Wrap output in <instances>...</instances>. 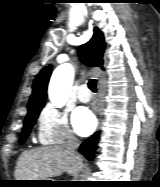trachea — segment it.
Returning a JSON list of instances; mask_svg holds the SVG:
<instances>
[{
    "instance_id": "1",
    "label": "trachea",
    "mask_w": 160,
    "mask_h": 187,
    "mask_svg": "<svg viewBox=\"0 0 160 187\" xmlns=\"http://www.w3.org/2000/svg\"><path fill=\"white\" fill-rule=\"evenodd\" d=\"M96 83H97V81L95 80V79H90L89 81H88V87H89V89L91 90V91H93V92H96Z\"/></svg>"
}]
</instances>
